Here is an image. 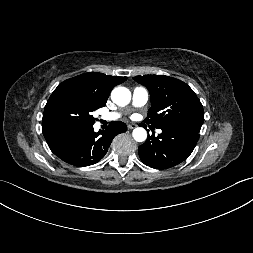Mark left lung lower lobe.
Returning a JSON list of instances; mask_svg holds the SVG:
<instances>
[{"label": "left lung lower lobe", "mask_w": 253, "mask_h": 253, "mask_svg": "<svg viewBox=\"0 0 253 253\" xmlns=\"http://www.w3.org/2000/svg\"><path fill=\"white\" fill-rule=\"evenodd\" d=\"M161 134L148 136L139 146L141 161L156 169L171 168L192 153L199 139L200 128H160Z\"/></svg>", "instance_id": "left-lung-lower-lobe-1"}]
</instances>
